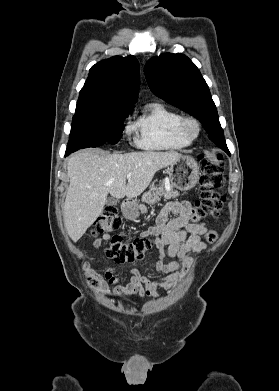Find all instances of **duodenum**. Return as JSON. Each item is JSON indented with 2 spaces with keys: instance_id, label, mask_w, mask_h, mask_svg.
<instances>
[{
  "instance_id": "1",
  "label": "duodenum",
  "mask_w": 279,
  "mask_h": 391,
  "mask_svg": "<svg viewBox=\"0 0 279 391\" xmlns=\"http://www.w3.org/2000/svg\"><path fill=\"white\" fill-rule=\"evenodd\" d=\"M131 207H132L131 202L130 201H126L125 202V209H126V211H129L131 209Z\"/></svg>"
}]
</instances>
